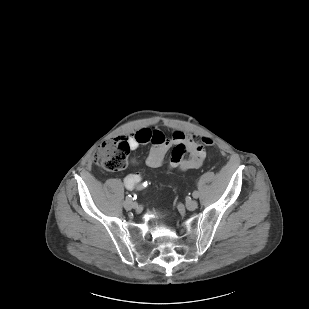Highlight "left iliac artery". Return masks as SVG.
Masks as SVG:
<instances>
[{
  "label": "left iliac artery",
  "instance_id": "obj_1",
  "mask_svg": "<svg viewBox=\"0 0 309 309\" xmlns=\"http://www.w3.org/2000/svg\"><path fill=\"white\" fill-rule=\"evenodd\" d=\"M192 196H193L194 198H198V197H199V193H198L197 191H194V192L192 193Z\"/></svg>",
  "mask_w": 309,
  "mask_h": 309
}]
</instances>
